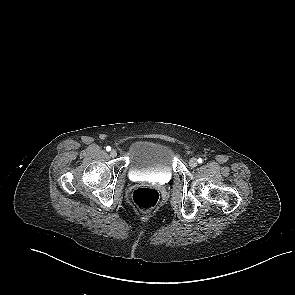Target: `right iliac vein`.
<instances>
[{
	"label": "right iliac vein",
	"mask_w": 295,
	"mask_h": 295,
	"mask_svg": "<svg viewBox=\"0 0 295 295\" xmlns=\"http://www.w3.org/2000/svg\"><path fill=\"white\" fill-rule=\"evenodd\" d=\"M110 156H111L112 158L116 157V156H117V151L114 150V149H112L111 152H110Z\"/></svg>",
	"instance_id": "obj_1"
}]
</instances>
